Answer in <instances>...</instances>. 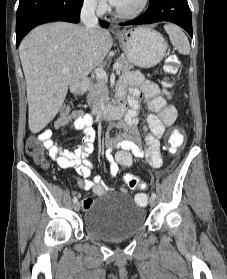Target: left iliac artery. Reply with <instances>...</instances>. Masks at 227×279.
<instances>
[{
    "mask_svg": "<svg viewBox=\"0 0 227 279\" xmlns=\"http://www.w3.org/2000/svg\"><path fill=\"white\" fill-rule=\"evenodd\" d=\"M151 196L154 197V198H156V194H155V193H152Z\"/></svg>",
    "mask_w": 227,
    "mask_h": 279,
    "instance_id": "left-iliac-artery-1",
    "label": "left iliac artery"
}]
</instances>
